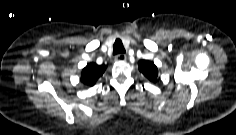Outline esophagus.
Here are the masks:
<instances>
[{
  "label": "esophagus",
  "mask_w": 236,
  "mask_h": 135,
  "mask_svg": "<svg viewBox=\"0 0 236 135\" xmlns=\"http://www.w3.org/2000/svg\"><path fill=\"white\" fill-rule=\"evenodd\" d=\"M126 60V55L125 54H118L115 57V61H125Z\"/></svg>",
  "instance_id": "34e87169"
}]
</instances>
